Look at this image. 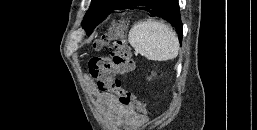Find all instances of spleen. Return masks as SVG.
Masks as SVG:
<instances>
[{
	"label": "spleen",
	"instance_id": "spleen-1",
	"mask_svg": "<svg viewBox=\"0 0 257 130\" xmlns=\"http://www.w3.org/2000/svg\"><path fill=\"white\" fill-rule=\"evenodd\" d=\"M128 40L136 54L148 60L168 61L177 57L179 42L173 30L163 22L140 21L129 31Z\"/></svg>",
	"mask_w": 257,
	"mask_h": 130
}]
</instances>
